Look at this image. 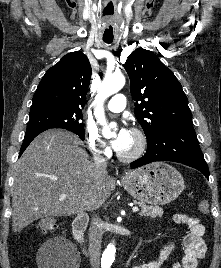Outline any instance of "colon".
I'll return each mask as SVG.
<instances>
[{"label": "colon", "mask_w": 221, "mask_h": 268, "mask_svg": "<svg viewBox=\"0 0 221 268\" xmlns=\"http://www.w3.org/2000/svg\"><path fill=\"white\" fill-rule=\"evenodd\" d=\"M198 209L200 212L207 214L209 212V203L205 199H201L198 202ZM56 221L52 217H46L39 221V228L41 230H51L55 228Z\"/></svg>", "instance_id": "5ec220e1"}]
</instances>
